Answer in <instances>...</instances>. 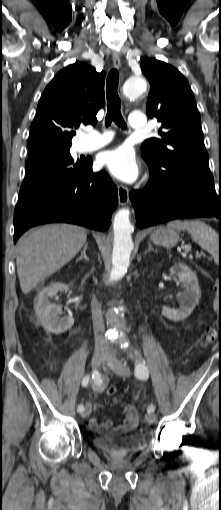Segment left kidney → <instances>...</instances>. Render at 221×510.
<instances>
[{"label": "left kidney", "mask_w": 221, "mask_h": 510, "mask_svg": "<svg viewBox=\"0 0 221 510\" xmlns=\"http://www.w3.org/2000/svg\"><path fill=\"white\" fill-rule=\"evenodd\" d=\"M170 272L177 275L182 283L183 290L177 294L179 309L169 307L162 308V315L172 321L186 319L193 311L201 297V291L196 274L185 264L176 263L170 268Z\"/></svg>", "instance_id": "left-kidney-1"}]
</instances>
